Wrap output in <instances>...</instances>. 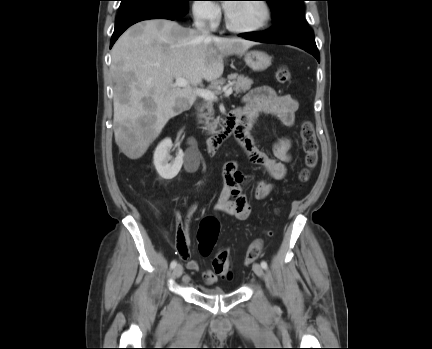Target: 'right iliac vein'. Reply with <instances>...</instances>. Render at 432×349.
I'll return each instance as SVG.
<instances>
[{
	"mask_svg": "<svg viewBox=\"0 0 432 349\" xmlns=\"http://www.w3.org/2000/svg\"><path fill=\"white\" fill-rule=\"evenodd\" d=\"M183 273V267L181 265H177L173 270L174 278H179Z\"/></svg>",
	"mask_w": 432,
	"mask_h": 349,
	"instance_id": "right-iliac-vein-1",
	"label": "right iliac vein"
}]
</instances>
